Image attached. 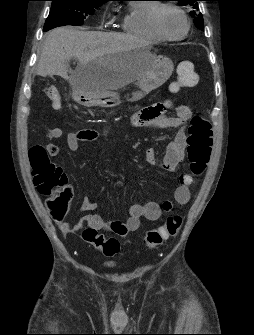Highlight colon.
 I'll list each match as a JSON object with an SVG mask.
<instances>
[{
    "instance_id": "colon-1",
    "label": "colon",
    "mask_w": 254,
    "mask_h": 335,
    "mask_svg": "<svg viewBox=\"0 0 254 335\" xmlns=\"http://www.w3.org/2000/svg\"><path fill=\"white\" fill-rule=\"evenodd\" d=\"M196 82L194 64L190 61L180 62L177 66L174 89L190 87ZM45 94L54 109L62 107L61 95L56 87H47ZM212 145L213 133L209 121L202 116H194L190 121L187 136V156L193 176H200L205 171L211 157ZM28 156L37 190L40 194L50 197L46 203L49 211L64 213L71 200L70 195L62 190L66 183V174L62 168L50 161L49 152L42 145L31 147ZM181 225L180 215L168 216L162 225L146 232L143 238L144 245L149 249L160 246L177 235ZM82 237L86 242L100 249L106 257H113L120 251V243L116 238H105L93 228H86Z\"/></svg>"
}]
</instances>
